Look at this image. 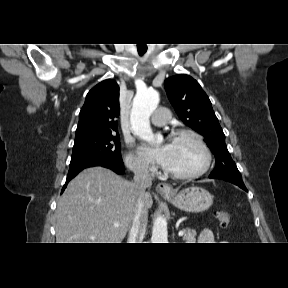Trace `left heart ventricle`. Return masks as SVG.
I'll return each instance as SVG.
<instances>
[{
	"label": "left heart ventricle",
	"instance_id": "obj_1",
	"mask_svg": "<svg viewBox=\"0 0 288 288\" xmlns=\"http://www.w3.org/2000/svg\"><path fill=\"white\" fill-rule=\"evenodd\" d=\"M170 153L165 168L175 172H192L204 163L200 147L189 137L171 139Z\"/></svg>",
	"mask_w": 288,
	"mask_h": 288
}]
</instances>
